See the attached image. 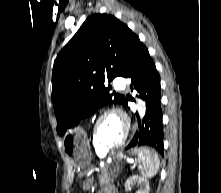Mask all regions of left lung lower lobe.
Here are the masks:
<instances>
[{
	"instance_id": "1",
	"label": "left lung lower lobe",
	"mask_w": 221,
	"mask_h": 193,
	"mask_svg": "<svg viewBox=\"0 0 221 193\" xmlns=\"http://www.w3.org/2000/svg\"><path fill=\"white\" fill-rule=\"evenodd\" d=\"M122 77L131 79V90H136L147 104L144 118L139 119L137 114L138 130L126 149L150 146L163 156L160 75L147 48L141 42L136 46ZM127 100L128 98L125 100V105Z\"/></svg>"
}]
</instances>
